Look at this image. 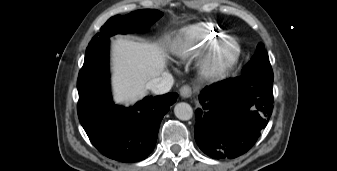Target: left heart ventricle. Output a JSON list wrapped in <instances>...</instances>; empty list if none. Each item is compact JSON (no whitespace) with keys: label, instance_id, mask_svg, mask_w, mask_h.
Wrapping results in <instances>:
<instances>
[{"label":"left heart ventricle","instance_id":"b2bd125f","mask_svg":"<svg viewBox=\"0 0 337 171\" xmlns=\"http://www.w3.org/2000/svg\"><path fill=\"white\" fill-rule=\"evenodd\" d=\"M231 53V49L230 47H225L224 49H222L219 54H218V58L220 60H224L226 59Z\"/></svg>","mask_w":337,"mask_h":171}]
</instances>
